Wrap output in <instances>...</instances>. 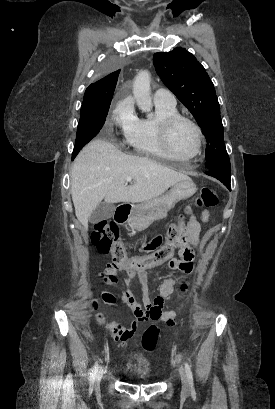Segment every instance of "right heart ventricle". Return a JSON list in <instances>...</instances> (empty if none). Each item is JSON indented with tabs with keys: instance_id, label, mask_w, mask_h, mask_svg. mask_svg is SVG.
I'll list each match as a JSON object with an SVG mask.
<instances>
[{
	"instance_id": "obj_1",
	"label": "right heart ventricle",
	"mask_w": 275,
	"mask_h": 409,
	"mask_svg": "<svg viewBox=\"0 0 275 409\" xmlns=\"http://www.w3.org/2000/svg\"><path fill=\"white\" fill-rule=\"evenodd\" d=\"M177 115L178 112L175 107L156 105L154 117L137 121L129 139V143L133 148L132 151L135 154L147 157H169L162 143L161 124L164 120Z\"/></svg>"
}]
</instances>
